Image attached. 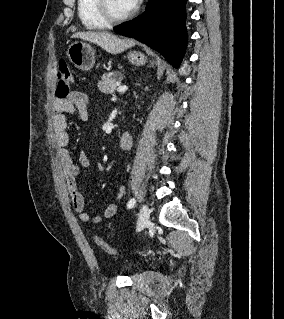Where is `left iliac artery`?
<instances>
[{"label": "left iliac artery", "mask_w": 284, "mask_h": 319, "mask_svg": "<svg viewBox=\"0 0 284 319\" xmlns=\"http://www.w3.org/2000/svg\"><path fill=\"white\" fill-rule=\"evenodd\" d=\"M135 199L134 198H131L128 203H127V208H132L134 205H135Z\"/></svg>", "instance_id": "obj_1"}]
</instances>
